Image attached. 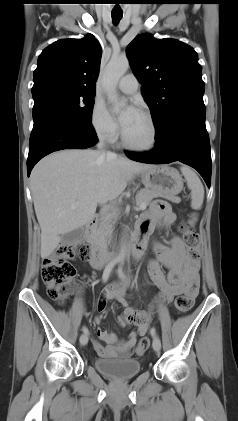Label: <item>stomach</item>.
<instances>
[{"label": "stomach", "mask_w": 238, "mask_h": 421, "mask_svg": "<svg viewBox=\"0 0 238 421\" xmlns=\"http://www.w3.org/2000/svg\"><path fill=\"white\" fill-rule=\"evenodd\" d=\"M146 188L157 190L166 196H175L183 189V179L179 172L167 165H151L140 172Z\"/></svg>", "instance_id": "obj_1"}]
</instances>
